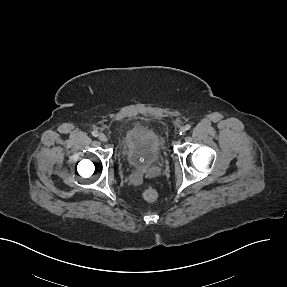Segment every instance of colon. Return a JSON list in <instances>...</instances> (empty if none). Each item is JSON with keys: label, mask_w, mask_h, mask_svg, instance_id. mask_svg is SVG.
I'll return each instance as SVG.
<instances>
[{"label": "colon", "mask_w": 287, "mask_h": 287, "mask_svg": "<svg viewBox=\"0 0 287 287\" xmlns=\"http://www.w3.org/2000/svg\"><path fill=\"white\" fill-rule=\"evenodd\" d=\"M141 196L144 200L148 202H153L158 198V193L154 188L146 187L142 189Z\"/></svg>", "instance_id": "5ec220e1"}]
</instances>
